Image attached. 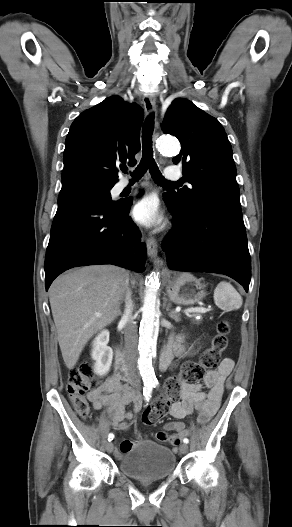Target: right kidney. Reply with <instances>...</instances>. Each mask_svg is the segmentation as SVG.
<instances>
[{
    "instance_id": "ca27d5eb",
    "label": "right kidney",
    "mask_w": 292,
    "mask_h": 527,
    "mask_svg": "<svg viewBox=\"0 0 292 527\" xmlns=\"http://www.w3.org/2000/svg\"><path fill=\"white\" fill-rule=\"evenodd\" d=\"M109 342V332L101 331L93 341L92 359L95 361L94 371L97 375L103 376L110 370L113 351L107 346Z\"/></svg>"
}]
</instances>
